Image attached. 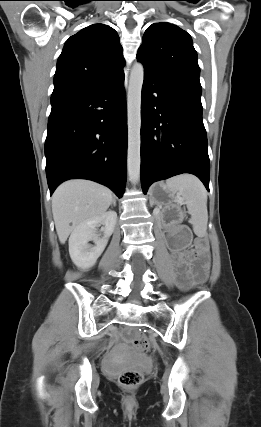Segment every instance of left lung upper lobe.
<instances>
[{"instance_id": "5c2ea615", "label": "left lung upper lobe", "mask_w": 261, "mask_h": 427, "mask_svg": "<svg viewBox=\"0 0 261 427\" xmlns=\"http://www.w3.org/2000/svg\"><path fill=\"white\" fill-rule=\"evenodd\" d=\"M137 59L145 70L200 83V68L191 36L174 24L164 22L149 26L143 35Z\"/></svg>"}]
</instances>
